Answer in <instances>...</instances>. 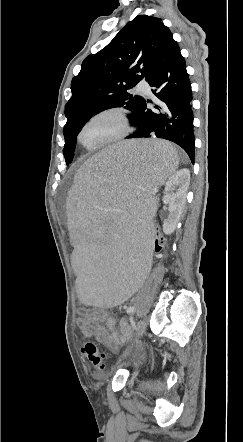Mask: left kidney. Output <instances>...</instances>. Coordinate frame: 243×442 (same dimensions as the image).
<instances>
[{"label": "left kidney", "mask_w": 243, "mask_h": 442, "mask_svg": "<svg viewBox=\"0 0 243 442\" xmlns=\"http://www.w3.org/2000/svg\"><path fill=\"white\" fill-rule=\"evenodd\" d=\"M190 172L188 169H181L175 173L166 183L168 190H174L163 198L164 204H168V217L164 221V233L170 235L176 229L177 223L182 215L186 192L189 186ZM178 187L177 189H175Z\"/></svg>", "instance_id": "obj_1"}]
</instances>
